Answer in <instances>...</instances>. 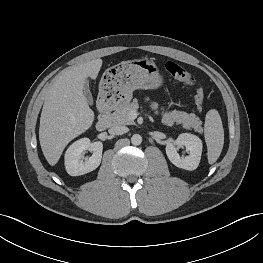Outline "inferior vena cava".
Instances as JSON below:
<instances>
[{"instance_id":"1","label":"inferior vena cava","mask_w":263,"mask_h":263,"mask_svg":"<svg viewBox=\"0 0 263 263\" xmlns=\"http://www.w3.org/2000/svg\"><path fill=\"white\" fill-rule=\"evenodd\" d=\"M108 132L112 135H122L128 132V128L126 126L114 125L108 130Z\"/></svg>"}]
</instances>
